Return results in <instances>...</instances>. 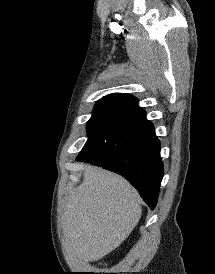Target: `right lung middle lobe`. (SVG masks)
Wrapping results in <instances>:
<instances>
[{"mask_svg":"<svg viewBox=\"0 0 215 274\" xmlns=\"http://www.w3.org/2000/svg\"><path fill=\"white\" fill-rule=\"evenodd\" d=\"M151 126L144 111L98 102L87 122L88 140L77 160L89 158L109 162Z\"/></svg>","mask_w":215,"mask_h":274,"instance_id":"obj_1","label":"right lung middle lobe"}]
</instances>
